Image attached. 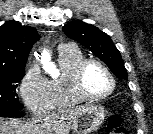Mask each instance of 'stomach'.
Listing matches in <instances>:
<instances>
[{
    "label": "stomach",
    "mask_w": 153,
    "mask_h": 134,
    "mask_svg": "<svg viewBox=\"0 0 153 134\" xmlns=\"http://www.w3.org/2000/svg\"><path fill=\"white\" fill-rule=\"evenodd\" d=\"M106 111L103 106L85 107L74 119L71 129L75 134H91L99 129L105 120Z\"/></svg>",
    "instance_id": "stomach-1"
}]
</instances>
